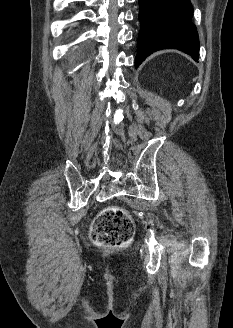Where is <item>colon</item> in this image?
<instances>
[{
    "label": "colon",
    "instance_id": "obj_1",
    "mask_svg": "<svg viewBox=\"0 0 233 328\" xmlns=\"http://www.w3.org/2000/svg\"><path fill=\"white\" fill-rule=\"evenodd\" d=\"M134 235V222L129 213L116 206L102 210L91 228V239L104 248L120 247L129 243Z\"/></svg>",
    "mask_w": 233,
    "mask_h": 328
}]
</instances>
